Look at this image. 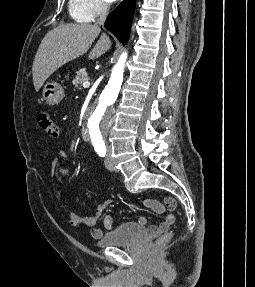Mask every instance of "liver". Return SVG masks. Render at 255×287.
<instances>
[{"label":"liver","mask_w":255,"mask_h":287,"mask_svg":"<svg viewBox=\"0 0 255 287\" xmlns=\"http://www.w3.org/2000/svg\"><path fill=\"white\" fill-rule=\"evenodd\" d=\"M99 34L97 24H62L50 30L43 38L33 62L32 76L36 92L58 68L86 54ZM110 48L111 40L103 34L90 52L89 60L99 58Z\"/></svg>","instance_id":"obj_1"}]
</instances>
